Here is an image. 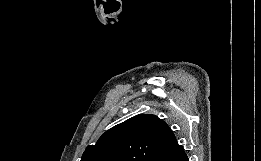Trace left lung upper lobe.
Listing matches in <instances>:
<instances>
[{
  "instance_id": "obj_1",
  "label": "left lung upper lobe",
  "mask_w": 261,
  "mask_h": 161,
  "mask_svg": "<svg viewBox=\"0 0 261 161\" xmlns=\"http://www.w3.org/2000/svg\"><path fill=\"white\" fill-rule=\"evenodd\" d=\"M175 139L157 116L139 114L106 131L95 145L86 148L81 161H151Z\"/></svg>"
}]
</instances>
